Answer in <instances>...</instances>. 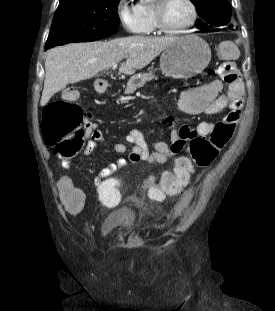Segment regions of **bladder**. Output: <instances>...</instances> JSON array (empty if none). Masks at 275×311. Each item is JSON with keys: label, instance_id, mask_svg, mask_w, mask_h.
<instances>
[{"label": "bladder", "instance_id": "obj_1", "mask_svg": "<svg viewBox=\"0 0 275 311\" xmlns=\"http://www.w3.org/2000/svg\"><path fill=\"white\" fill-rule=\"evenodd\" d=\"M138 215L134 208H120L117 211L109 213L103 223L102 232L110 235L119 231H128L135 228Z\"/></svg>", "mask_w": 275, "mask_h": 311}]
</instances>
